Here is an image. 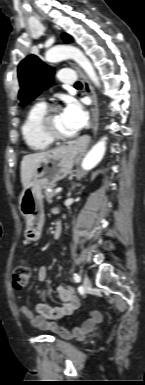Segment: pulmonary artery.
I'll list each match as a JSON object with an SVG mask.
<instances>
[{"label":"pulmonary artery","mask_w":145,"mask_h":385,"mask_svg":"<svg viewBox=\"0 0 145 385\" xmlns=\"http://www.w3.org/2000/svg\"><path fill=\"white\" fill-rule=\"evenodd\" d=\"M59 79L66 84H72L75 82V75L69 69H63L59 72Z\"/></svg>","instance_id":"1"}]
</instances>
